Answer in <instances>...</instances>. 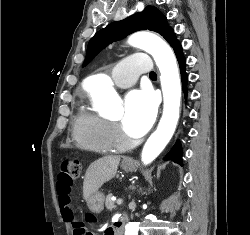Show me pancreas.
<instances>
[{"label": "pancreas", "mask_w": 250, "mask_h": 235, "mask_svg": "<svg viewBox=\"0 0 250 235\" xmlns=\"http://www.w3.org/2000/svg\"><path fill=\"white\" fill-rule=\"evenodd\" d=\"M111 197H112V194H109V195L106 197V208H107L108 210H110V211H111L112 209L115 208L114 201H112Z\"/></svg>", "instance_id": "obj_1"}]
</instances>
